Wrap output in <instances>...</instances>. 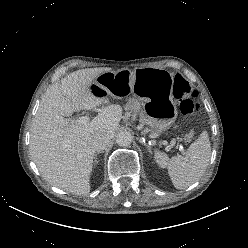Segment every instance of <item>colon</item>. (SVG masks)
<instances>
[{
    "mask_svg": "<svg viewBox=\"0 0 248 248\" xmlns=\"http://www.w3.org/2000/svg\"><path fill=\"white\" fill-rule=\"evenodd\" d=\"M174 96L180 100V108L185 116H193L198 111V103L195 100L196 90L181 76L176 75L173 81ZM194 139V131L189 130L184 137L186 143Z\"/></svg>",
    "mask_w": 248,
    "mask_h": 248,
    "instance_id": "obj_1",
    "label": "colon"
}]
</instances>
